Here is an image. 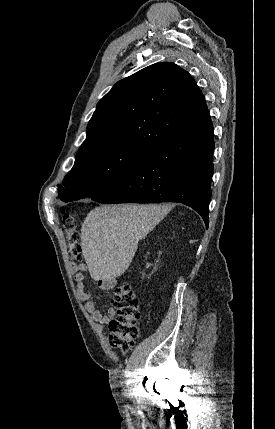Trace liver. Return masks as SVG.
Listing matches in <instances>:
<instances>
[{
  "mask_svg": "<svg viewBox=\"0 0 275 429\" xmlns=\"http://www.w3.org/2000/svg\"><path fill=\"white\" fill-rule=\"evenodd\" d=\"M167 205H103L88 213L81 247L92 279L114 281L130 266L144 238L168 212Z\"/></svg>",
  "mask_w": 275,
  "mask_h": 429,
  "instance_id": "liver-1",
  "label": "liver"
}]
</instances>
